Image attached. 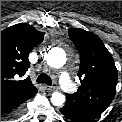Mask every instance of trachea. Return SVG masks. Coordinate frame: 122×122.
Returning <instances> with one entry per match:
<instances>
[{
    "mask_svg": "<svg viewBox=\"0 0 122 122\" xmlns=\"http://www.w3.org/2000/svg\"><path fill=\"white\" fill-rule=\"evenodd\" d=\"M36 81H37L38 83H45V84H47V85H52V80H51V78H50L47 74H45V73L40 74V75L38 76V78L36 79Z\"/></svg>",
    "mask_w": 122,
    "mask_h": 122,
    "instance_id": "3493384b",
    "label": "trachea"
}]
</instances>
